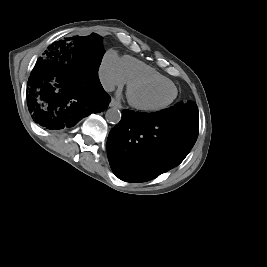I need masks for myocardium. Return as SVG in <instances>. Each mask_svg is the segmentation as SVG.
Returning a JSON list of instances; mask_svg holds the SVG:
<instances>
[{
    "instance_id": "myocardium-1",
    "label": "myocardium",
    "mask_w": 267,
    "mask_h": 267,
    "mask_svg": "<svg viewBox=\"0 0 267 267\" xmlns=\"http://www.w3.org/2000/svg\"><path fill=\"white\" fill-rule=\"evenodd\" d=\"M152 84L171 85L175 91L174 96L172 97V99L170 101H168L167 103H165L163 105H159V106L144 105V104L139 103L138 101H136L133 98L132 92L135 88L140 87V86H145V85H152ZM177 96H178V89H177L176 85L171 81H161V80H157V79L142 78V79H136V80H132V81L128 82V86H127V98H128L129 103L134 108L141 110V111L156 112V111L164 110V109L168 108L171 104L174 103Z\"/></svg>"
}]
</instances>
